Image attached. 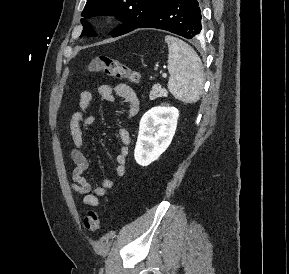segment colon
Segmentation results:
<instances>
[{
  "label": "colon",
  "mask_w": 289,
  "mask_h": 274,
  "mask_svg": "<svg viewBox=\"0 0 289 274\" xmlns=\"http://www.w3.org/2000/svg\"><path fill=\"white\" fill-rule=\"evenodd\" d=\"M88 72H102L106 75L125 79L131 83H139L141 76L139 72L130 68L118 59L106 55L94 57L86 67ZM84 227L89 232H94L99 228L100 217L97 211L90 210L84 217Z\"/></svg>",
  "instance_id": "colon-1"
}]
</instances>
